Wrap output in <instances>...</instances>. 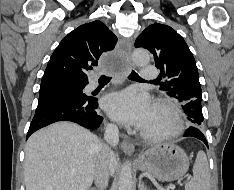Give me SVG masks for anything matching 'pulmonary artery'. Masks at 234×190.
Masks as SVG:
<instances>
[{
	"mask_svg": "<svg viewBox=\"0 0 234 190\" xmlns=\"http://www.w3.org/2000/svg\"><path fill=\"white\" fill-rule=\"evenodd\" d=\"M142 79L149 80L157 75V68L155 66H144L142 69ZM97 87L96 84L92 85V88L95 89Z\"/></svg>",
	"mask_w": 234,
	"mask_h": 190,
	"instance_id": "pulmonary-artery-1",
	"label": "pulmonary artery"
}]
</instances>
